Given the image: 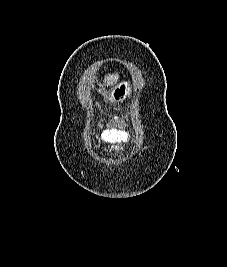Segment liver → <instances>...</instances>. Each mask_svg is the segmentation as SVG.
<instances>
[{
	"instance_id": "liver-1",
	"label": "liver",
	"mask_w": 227,
	"mask_h": 267,
	"mask_svg": "<svg viewBox=\"0 0 227 267\" xmlns=\"http://www.w3.org/2000/svg\"><path fill=\"white\" fill-rule=\"evenodd\" d=\"M119 76L118 74H110L109 76H106L104 79V84L105 85H112L113 83H115L118 80Z\"/></svg>"
}]
</instances>
